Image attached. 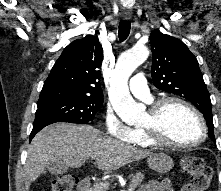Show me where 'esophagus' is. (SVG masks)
Here are the masks:
<instances>
[{
  "label": "esophagus",
  "instance_id": "obj_1",
  "mask_svg": "<svg viewBox=\"0 0 221 191\" xmlns=\"http://www.w3.org/2000/svg\"><path fill=\"white\" fill-rule=\"evenodd\" d=\"M124 19H125V20H129L130 17H129V16H124Z\"/></svg>",
  "mask_w": 221,
  "mask_h": 191
}]
</instances>
